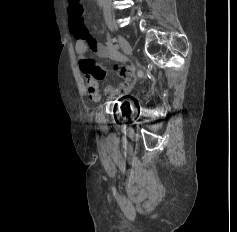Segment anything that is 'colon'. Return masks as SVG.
Here are the masks:
<instances>
[{"instance_id": "colon-1", "label": "colon", "mask_w": 237, "mask_h": 232, "mask_svg": "<svg viewBox=\"0 0 237 232\" xmlns=\"http://www.w3.org/2000/svg\"><path fill=\"white\" fill-rule=\"evenodd\" d=\"M83 7L80 0H69V21L72 31L81 34L86 32L83 17Z\"/></svg>"}]
</instances>
